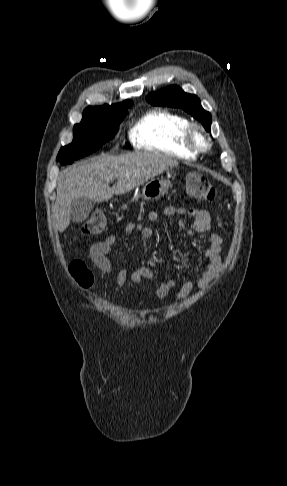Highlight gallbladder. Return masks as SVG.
<instances>
[{
    "label": "gallbladder",
    "mask_w": 287,
    "mask_h": 486,
    "mask_svg": "<svg viewBox=\"0 0 287 486\" xmlns=\"http://www.w3.org/2000/svg\"><path fill=\"white\" fill-rule=\"evenodd\" d=\"M94 203L87 197L74 198L71 204L72 214L71 219L74 223H81L88 218Z\"/></svg>",
    "instance_id": "bac80fb5"
}]
</instances>
